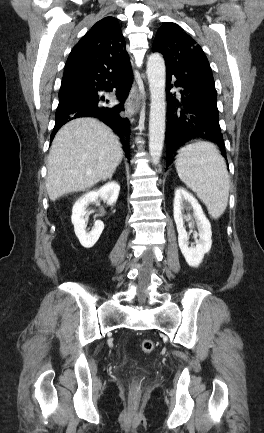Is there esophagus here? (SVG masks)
I'll use <instances>...</instances> for the list:
<instances>
[{"label":"esophagus","instance_id":"34e87169","mask_svg":"<svg viewBox=\"0 0 264 433\" xmlns=\"http://www.w3.org/2000/svg\"><path fill=\"white\" fill-rule=\"evenodd\" d=\"M141 107V94L139 93L137 86L134 84L130 90L129 96L126 100L125 109L129 114V117L137 114Z\"/></svg>","mask_w":264,"mask_h":433}]
</instances>
